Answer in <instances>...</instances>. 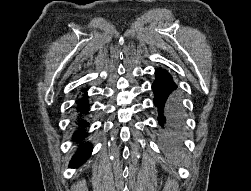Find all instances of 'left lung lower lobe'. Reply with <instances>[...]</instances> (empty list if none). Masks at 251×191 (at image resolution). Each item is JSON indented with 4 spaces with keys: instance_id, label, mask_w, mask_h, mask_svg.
I'll list each match as a JSON object with an SVG mask.
<instances>
[{
    "instance_id": "left-lung-lower-lobe-1",
    "label": "left lung lower lobe",
    "mask_w": 251,
    "mask_h": 191,
    "mask_svg": "<svg viewBox=\"0 0 251 191\" xmlns=\"http://www.w3.org/2000/svg\"><path fill=\"white\" fill-rule=\"evenodd\" d=\"M156 79L152 85L154 92V105L157 107L158 121L166 130V145L173 150L177 143L175 128L181 122L179 96L175 92L177 85L170 74L164 69H157Z\"/></svg>"
}]
</instances>
